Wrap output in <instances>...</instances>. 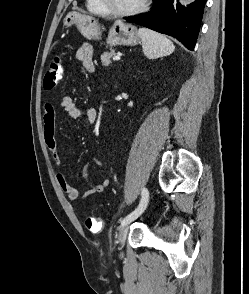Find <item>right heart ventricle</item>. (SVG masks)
Returning a JSON list of instances; mask_svg holds the SVG:
<instances>
[{
  "label": "right heart ventricle",
  "mask_w": 249,
  "mask_h": 294,
  "mask_svg": "<svg viewBox=\"0 0 249 294\" xmlns=\"http://www.w3.org/2000/svg\"><path fill=\"white\" fill-rule=\"evenodd\" d=\"M86 7L93 14L106 15V11L100 5L99 0H86Z\"/></svg>",
  "instance_id": "obj_1"
}]
</instances>
